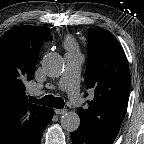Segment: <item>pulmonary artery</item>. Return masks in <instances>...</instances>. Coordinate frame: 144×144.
Here are the masks:
<instances>
[{
  "instance_id": "pulmonary-artery-1",
  "label": "pulmonary artery",
  "mask_w": 144,
  "mask_h": 144,
  "mask_svg": "<svg viewBox=\"0 0 144 144\" xmlns=\"http://www.w3.org/2000/svg\"><path fill=\"white\" fill-rule=\"evenodd\" d=\"M83 63V56L77 52H68L65 55V70L59 79V87L65 89L70 103L79 106L83 103V98L79 94L80 69ZM36 93L39 91L36 90Z\"/></svg>"
}]
</instances>
